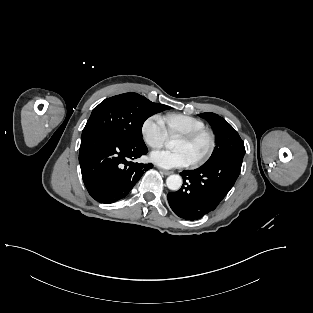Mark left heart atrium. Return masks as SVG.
<instances>
[{"instance_id":"obj_1","label":"left heart atrium","mask_w":313,"mask_h":313,"mask_svg":"<svg viewBox=\"0 0 313 313\" xmlns=\"http://www.w3.org/2000/svg\"><path fill=\"white\" fill-rule=\"evenodd\" d=\"M150 160L162 168L186 167L191 164L187 153L183 150H155L150 154Z\"/></svg>"}]
</instances>
